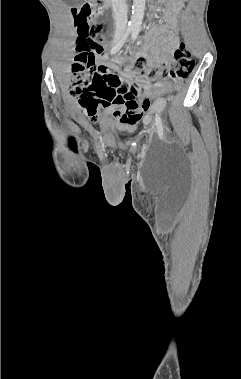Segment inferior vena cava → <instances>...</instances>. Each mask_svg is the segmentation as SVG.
<instances>
[{
  "mask_svg": "<svg viewBox=\"0 0 241 379\" xmlns=\"http://www.w3.org/2000/svg\"><path fill=\"white\" fill-rule=\"evenodd\" d=\"M112 8L115 19V36L121 37L127 28V4L126 0H112Z\"/></svg>",
  "mask_w": 241,
  "mask_h": 379,
  "instance_id": "1",
  "label": "inferior vena cava"
}]
</instances>
